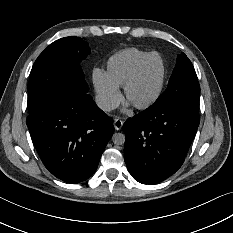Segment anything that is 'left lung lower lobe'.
<instances>
[{
  "instance_id": "left-lung-lower-lobe-1",
  "label": "left lung lower lobe",
  "mask_w": 233,
  "mask_h": 233,
  "mask_svg": "<svg viewBox=\"0 0 233 233\" xmlns=\"http://www.w3.org/2000/svg\"><path fill=\"white\" fill-rule=\"evenodd\" d=\"M200 122L190 105L151 106L123 125L124 158L134 179L156 184L183 164Z\"/></svg>"
}]
</instances>
